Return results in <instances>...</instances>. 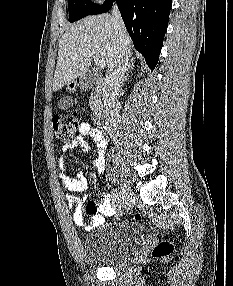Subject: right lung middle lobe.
Instances as JSON below:
<instances>
[{"instance_id":"dd1d6c3e","label":"right lung middle lobe","mask_w":233,"mask_h":286,"mask_svg":"<svg viewBox=\"0 0 233 286\" xmlns=\"http://www.w3.org/2000/svg\"><path fill=\"white\" fill-rule=\"evenodd\" d=\"M97 6L90 0H68L69 21L74 22L91 15Z\"/></svg>"}]
</instances>
